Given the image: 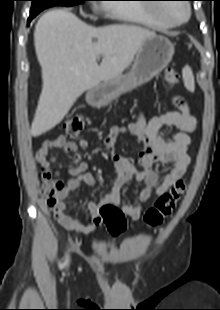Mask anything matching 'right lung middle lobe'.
Returning a JSON list of instances; mask_svg holds the SVG:
<instances>
[{"label": "right lung middle lobe", "instance_id": "dd1d6c3e", "mask_svg": "<svg viewBox=\"0 0 220 310\" xmlns=\"http://www.w3.org/2000/svg\"><path fill=\"white\" fill-rule=\"evenodd\" d=\"M31 13L38 14L42 10L52 6H73L79 3H83L87 0H31Z\"/></svg>", "mask_w": 220, "mask_h": 310}]
</instances>
